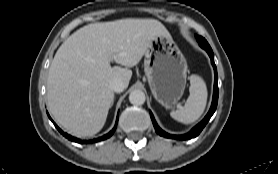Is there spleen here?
Instances as JSON below:
<instances>
[{"mask_svg": "<svg viewBox=\"0 0 278 174\" xmlns=\"http://www.w3.org/2000/svg\"><path fill=\"white\" fill-rule=\"evenodd\" d=\"M189 92L184 107L170 113L173 119L184 124L195 122L203 114L207 103V87L200 76H190Z\"/></svg>", "mask_w": 278, "mask_h": 174, "instance_id": "obj_1", "label": "spleen"}]
</instances>
